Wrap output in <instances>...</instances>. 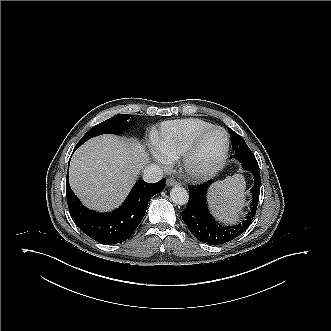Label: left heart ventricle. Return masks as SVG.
<instances>
[{
	"instance_id": "obj_1",
	"label": "left heart ventricle",
	"mask_w": 331,
	"mask_h": 331,
	"mask_svg": "<svg viewBox=\"0 0 331 331\" xmlns=\"http://www.w3.org/2000/svg\"><path fill=\"white\" fill-rule=\"evenodd\" d=\"M225 145L224 135L217 131L208 135L202 142L193 161L194 166L202 167L216 161Z\"/></svg>"
}]
</instances>
